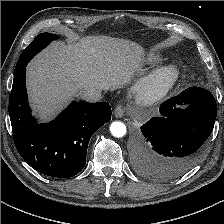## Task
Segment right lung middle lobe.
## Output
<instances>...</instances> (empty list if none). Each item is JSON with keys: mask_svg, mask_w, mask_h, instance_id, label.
Returning <instances> with one entry per match:
<instances>
[{"mask_svg": "<svg viewBox=\"0 0 224 224\" xmlns=\"http://www.w3.org/2000/svg\"><path fill=\"white\" fill-rule=\"evenodd\" d=\"M59 36L51 33H41L28 45V47L22 52L17 65L15 67V73L22 67L27 60H31L38 52L46 48L51 41L58 39Z\"/></svg>", "mask_w": 224, "mask_h": 224, "instance_id": "dd1d6c3e", "label": "right lung middle lobe"}]
</instances>
